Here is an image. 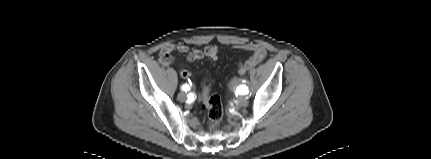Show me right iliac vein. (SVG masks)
Listing matches in <instances>:
<instances>
[{"instance_id":"right-iliac-vein-1","label":"right iliac vein","mask_w":431,"mask_h":159,"mask_svg":"<svg viewBox=\"0 0 431 159\" xmlns=\"http://www.w3.org/2000/svg\"><path fill=\"white\" fill-rule=\"evenodd\" d=\"M178 100L181 102H184L186 100V94L184 92H181L177 96Z\"/></svg>"}]
</instances>
